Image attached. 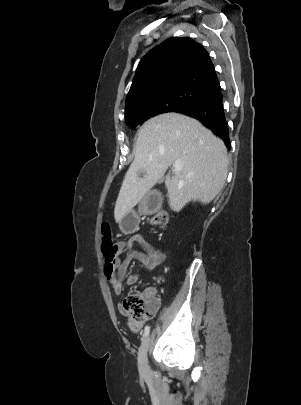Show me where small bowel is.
Masks as SVG:
<instances>
[{"mask_svg":"<svg viewBox=\"0 0 301 405\" xmlns=\"http://www.w3.org/2000/svg\"><path fill=\"white\" fill-rule=\"evenodd\" d=\"M115 248L116 252L111 264L105 263L104 273L116 295L123 292L125 284L131 285L138 281V275L127 272L131 260H137L146 269L152 270L166 259V255L161 249L150 243L140 233L132 235L125 241L117 242ZM146 293L154 296L156 291L150 288ZM157 305H159L158 301ZM121 311L123 310L121 309Z\"/></svg>","mask_w":301,"mask_h":405,"instance_id":"c3829d8e","label":"small bowel"}]
</instances>
